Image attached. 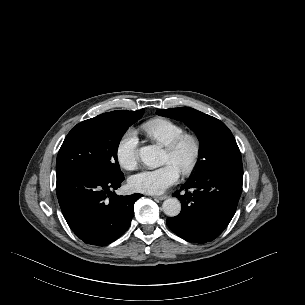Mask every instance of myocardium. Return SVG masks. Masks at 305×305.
<instances>
[{"instance_id":"f54148a6","label":"myocardium","mask_w":305,"mask_h":305,"mask_svg":"<svg viewBox=\"0 0 305 305\" xmlns=\"http://www.w3.org/2000/svg\"><path fill=\"white\" fill-rule=\"evenodd\" d=\"M187 144L191 146L193 154L190 162L181 169V172L185 175L192 173L201 160L202 147L200 140L195 135L184 133L165 146L169 153L176 154Z\"/></svg>"}]
</instances>
